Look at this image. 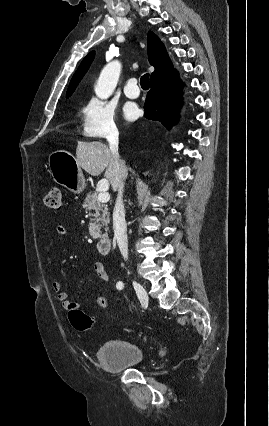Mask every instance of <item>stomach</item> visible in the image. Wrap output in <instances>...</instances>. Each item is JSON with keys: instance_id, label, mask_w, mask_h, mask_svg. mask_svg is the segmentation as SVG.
I'll return each mask as SVG.
<instances>
[{"instance_id": "0dacf381", "label": "stomach", "mask_w": 269, "mask_h": 426, "mask_svg": "<svg viewBox=\"0 0 269 426\" xmlns=\"http://www.w3.org/2000/svg\"><path fill=\"white\" fill-rule=\"evenodd\" d=\"M48 167L53 180L57 184L64 186L75 194H79L85 189L86 183L81 167L75 157L69 152L56 150L50 153Z\"/></svg>"}]
</instances>
